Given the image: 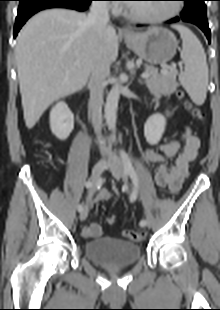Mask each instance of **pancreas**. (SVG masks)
<instances>
[{
    "instance_id": "cf45deb5",
    "label": "pancreas",
    "mask_w": 220,
    "mask_h": 310,
    "mask_svg": "<svg viewBox=\"0 0 220 310\" xmlns=\"http://www.w3.org/2000/svg\"><path fill=\"white\" fill-rule=\"evenodd\" d=\"M146 72L150 76L145 79V83L154 97L170 96L178 87L176 82L177 72L174 70L159 74L157 68L147 65Z\"/></svg>"
}]
</instances>
